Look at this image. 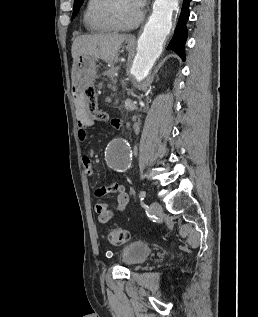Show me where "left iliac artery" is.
Masks as SVG:
<instances>
[{
  "label": "left iliac artery",
  "instance_id": "44dca946",
  "mask_svg": "<svg viewBox=\"0 0 258 317\" xmlns=\"http://www.w3.org/2000/svg\"><path fill=\"white\" fill-rule=\"evenodd\" d=\"M146 198V191L142 190L139 194V199L143 201Z\"/></svg>",
  "mask_w": 258,
  "mask_h": 317
}]
</instances>
